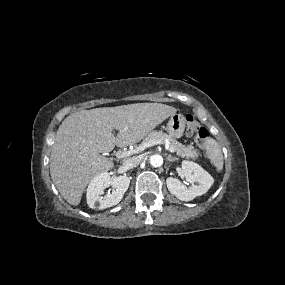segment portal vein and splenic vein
I'll return each mask as SVG.
<instances>
[{
    "label": "portal vein and splenic vein",
    "mask_w": 285,
    "mask_h": 285,
    "mask_svg": "<svg viewBox=\"0 0 285 285\" xmlns=\"http://www.w3.org/2000/svg\"><path fill=\"white\" fill-rule=\"evenodd\" d=\"M164 142L160 139H156V140H153V141H150V142H147V143H143L139 148L138 150H135V151H118L116 153V157L119 158V159H122V158H127L129 156H131L132 154L134 153H137L138 151H143L144 149L148 148V147H151V146H154V145H157V144H163ZM166 148L171 152V153H174L175 150L174 148L170 147L169 145H166Z\"/></svg>",
    "instance_id": "portal-vein-and-splenic-vein-1"
}]
</instances>
